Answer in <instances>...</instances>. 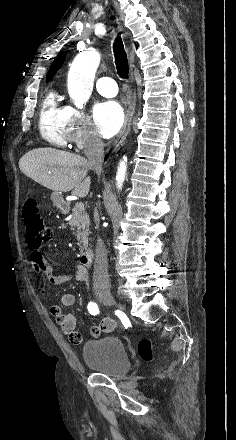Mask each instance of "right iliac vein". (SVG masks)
<instances>
[{
  "mask_svg": "<svg viewBox=\"0 0 236 440\" xmlns=\"http://www.w3.org/2000/svg\"><path fill=\"white\" fill-rule=\"evenodd\" d=\"M98 296L101 299V301L107 306H112V305L117 304V302L114 299V297L112 296V294L108 291L99 292ZM120 307L124 308L122 305H120Z\"/></svg>",
  "mask_w": 236,
  "mask_h": 440,
  "instance_id": "obj_1",
  "label": "right iliac vein"
}]
</instances>
